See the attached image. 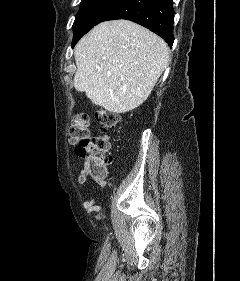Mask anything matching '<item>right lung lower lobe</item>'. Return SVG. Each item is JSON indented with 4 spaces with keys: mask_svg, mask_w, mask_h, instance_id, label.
<instances>
[{
    "mask_svg": "<svg viewBox=\"0 0 240 281\" xmlns=\"http://www.w3.org/2000/svg\"><path fill=\"white\" fill-rule=\"evenodd\" d=\"M174 10L172 0H118L97 21L126 19L162 37L172 47Z\"/></svg>",
    "mask_w": 240,
    "mask_h": 281,
    "instance_id": "1",
    "label": "right lung lower lobe"
}]
</instances>
